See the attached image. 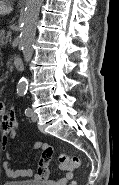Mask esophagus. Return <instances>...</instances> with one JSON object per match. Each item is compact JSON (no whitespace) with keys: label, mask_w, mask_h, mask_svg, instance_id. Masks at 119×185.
<instances>
[{"label":"esophagus","mask_w":119,"mask_h":185,"mask_svg":"<svg viewBox=\"0 0 119 185\" xmlns=\"http://www.w3.org/2000/svg\"><path fill=\"white\" fill-rule=\"evenodd\" d=\"M24 0H20V2L22 3Z\"/></svg>","instance_id":"1"}]
</instances>
